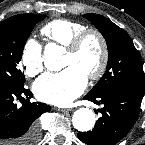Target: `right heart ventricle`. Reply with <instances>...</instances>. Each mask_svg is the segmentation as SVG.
I'll return each mask as SVG.
<instances>
[{
    "label": "right heart ventricle",
    "instance_id": "1",
    "mask_svg": "<svg viewBox=\"0 0 145 145\" xmlns=\"http://www.w3.org/2000/svg\"><path fill=\"white\" fill-rule=\"evenodd\" d=\"M87 29L81 22L69 19H55L41 28V34L50 42L66 47L80 32Z\"/></svg>",
    "mask_w": 145,
    "mask_h": 145
}]
</instances>
